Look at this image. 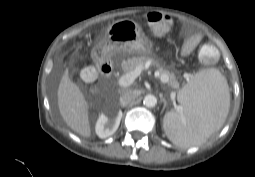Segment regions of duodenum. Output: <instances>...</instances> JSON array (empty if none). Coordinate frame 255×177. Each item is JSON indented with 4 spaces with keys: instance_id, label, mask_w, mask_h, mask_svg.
Here are the masks:
<instances>
[{
    "instance_id": "obj_1",
    "label": "duodenum",
    "mask_w": 255,
    "mask_h": 177,
    "mask_svg": "<svg viewBox=\"0 0 255 177\" xmlns=\"http://www.w3.org/2000/svg\"><path fill=\"white\" fill-rule=\"evenodd\" d=\"M97 62V66L99 68V70L101 71V73L103 74V76L106 79H111L113 77V72H114V68L113 66L107 62L105 60V58H97L96 60Z\"/></svg>"
}]
</instances>
